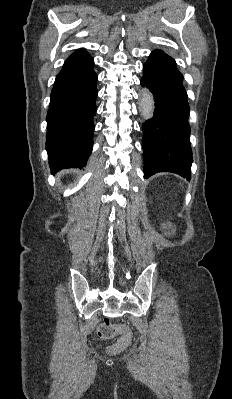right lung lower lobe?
<instances>
[{
    "label": "right lung lower lobe",
    "instance_id": "98d812e1",
    "mask_svg": "<svg viewBox=\"0 0 232 399\" xmlns=\"http://www.w3.org/2000/svg\"><path fill=\"white\" fill-rule=\"evenodd\" d=\"M84 50L70 55L57 75L47 113V142L52 172L85 166L93 148L97 75Z\"/></svg>",
    "mask_w": 232,
    "mask_h": 399
}]
</instances>
